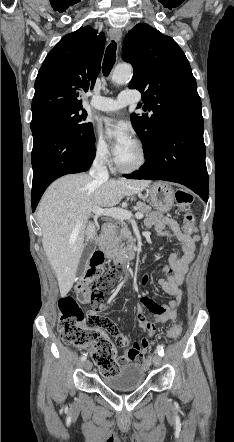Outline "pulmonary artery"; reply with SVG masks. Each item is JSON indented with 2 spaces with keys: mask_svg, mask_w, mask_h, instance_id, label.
Masks as SVG:
<instances>
[{
  "mask_svg": "<svg viewBox=\"0 0 234 442\" xmlns=\"http://www.w3.org/2000/svg\"><path fill=\"white\" fill-rule=\"evenodd\" d=\"M136 102V98L128 91H123L116 99L95 96L90 102V105L99 111L109 112L119 110L127 105Z\"/></svg>",
  "mask_w": 234,
  "mask_h": 442,
  "instance_id": "e3ab8cb5",
  "label": "pulmonary artery"
}]
</instances>
